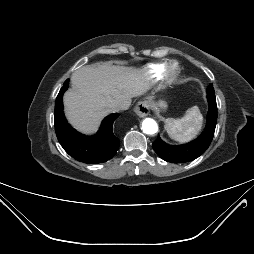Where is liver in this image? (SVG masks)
<instances>
[{"mask_svg": "<svg viewBox=\"0 0 254 254\" xmlns=\"http://www.w3.org/2000/svg\"><path fill=\"white\" fill-rule=\"evenodd\" d=\"M151 87L150 78L141 69L110 64L83 66L72 74L71 89L64 95L66 116L77 130L93 133L101 120L114 112V103H131L133 97Z\"/></svg>", "mask_w": 254, "mask_h": 254, "instance_id": "6515ba94", "label": "liver"}]
</instances>
